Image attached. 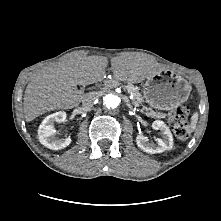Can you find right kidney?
Returning a JSON list of instances; mask_svg holds the SVG:
<instances>
[{
	"label": "right kidney",
	"instance_id": "ca27d5eb",
	"mask_svg": "<svg viewBox=\"0 0 221 221\" xmlns=\"http://www.w3.org/2000/svg\"><path fill=\"white\" fill-rule=\"evenodd\" d=\"M66 120V112L59 111L48 115L39 126L38 134L45 139L46 146L53 150H58L67 147L71 143V138L59 139L56 134L58 133L54 128V123H61Z\"/></svg>",
	"mask_w": 221,
	"mask_h": 221
}]
</instances>
